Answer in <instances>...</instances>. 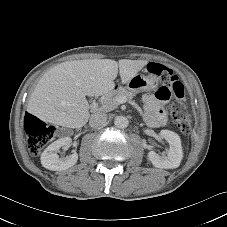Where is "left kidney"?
I'll list each match as a JSON object with an SVG mask.
<instances>
[{
  "label": "left kidney",
  "instance_id": "obj_1",
  "mask_svg": "<svg viewBox=\"0 0 227 227\" xmlns=\"http://www.w3.org/2000/svg\"><path fill=\"white\" fill-rule=\"evenodd\" d=\"M160 136L169 143L167 156H160L154 151L148 153L151 163L161 169H174L179 167L183 158L181 140L178 134L170 130H161Z\"/></svg>",
  "mask_w": 227,
  "mask_h": 227
}]
</instances>
